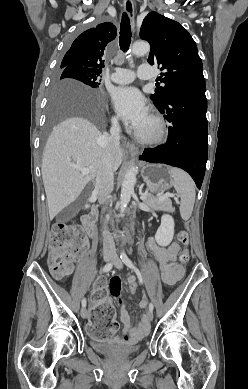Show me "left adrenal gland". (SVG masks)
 I'll list each match as a JSON object with an SVG mask.
<instances>
[{
    "mask_svg": "<svg viewBox=\"0 0 248 389\" xmlns=\"http://www.w3.org/2000/svg\"><path fill=\"white\" fill-rule=\"evenodd\" d=\"M139 193L141 194V188H140V190H139Z\"/></svg>",
    "mask_w": 248,
    "mask_h": 389,
    "instance_id": "1",
    "label": "left adrenal gland"
}]
</instances>
